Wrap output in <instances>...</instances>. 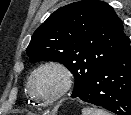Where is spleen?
I'll return each instance as SVG.
<instances>
[{
    "label": "spleen",
    "instance_id": "3e777b00",
    "mask_svg": "<svg viewBox=\"0 0 131 115\" xmlns=\"http://www.w3.org/2000/svg\"><path fill=\"white\" fill-rule=\"evenodd\" d=\"M82 115H110V114L101 109L83 108Z\"/></svg>",
    "mask_w": 131,
    "mask_h": 115
}]
</instances>
